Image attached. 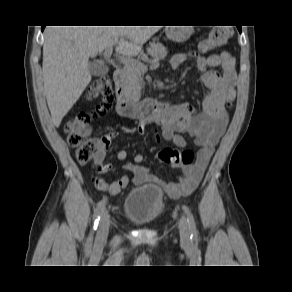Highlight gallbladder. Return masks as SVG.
Wrapping results in <instances>:
<instances>
[{
  "label": "gallbladder",
  "mask_w": 292,
  "mask_h": 292,
  "mask_svg": "<svg viewBox=\"0 0 292 292\" xmlns=\"http://www.w3.org/2000/svg\"><path fill=\"white\" fill-rule=\"evenodd\" d=\"M88 69L94 76H101L107 73V67L100 63H90Z\"/></svg>",
  "instance_id": "obj_1"
}]
</instances>
